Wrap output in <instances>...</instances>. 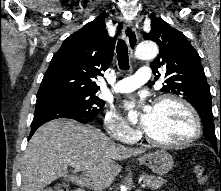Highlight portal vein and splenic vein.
<instances>
[{
	"label": "portal vein and splenic vein",
	"mask_w": 221,
	"mask_h": 191,
	"mask_svg": "<svg viewBox=\"0 0 221 191\" xmlns=\"http://www.w3.org/2000/svg\"><path fill=\"white\" fill-rule=\"evenodd\" d=\"M73 165V164H72ZM141 187H145V184H141Z\"/></svg>",
	"instance_id": "18ae733b"
}]
</instances>
